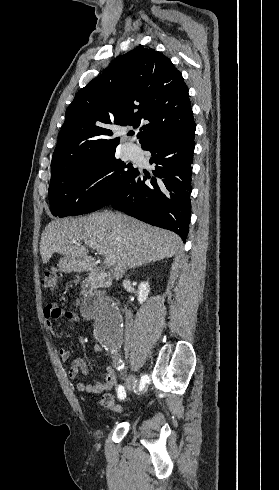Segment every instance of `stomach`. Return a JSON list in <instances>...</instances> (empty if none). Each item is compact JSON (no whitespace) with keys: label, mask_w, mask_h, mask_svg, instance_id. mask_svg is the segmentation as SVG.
Segmentation results:
<instances>
[{"label":"stomach","mask_w":279,"mask_h":490,"mask_svg":"<svg viewBox=\"0 0 279 490\" xmlns=\"http://www.w3.org/2000/svg\"><path fill=\"white\" fill-rule=\"evenodd\" d=\"M82 262L78 260H73V258H61L58 268L60 272H81Z\"/></svg>","instance_id":"obj_1"}]
</instances>
